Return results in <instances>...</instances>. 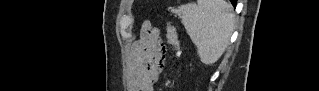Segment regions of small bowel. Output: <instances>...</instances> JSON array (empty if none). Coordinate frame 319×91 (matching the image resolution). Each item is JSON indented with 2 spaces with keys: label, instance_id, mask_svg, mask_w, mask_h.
<instances>
[{
  "label": "small bowel",
  "instance_id": "small-bowel-1",
  "mask_svg": "<svg viewBox=\"0 0 319 91\" xmlns=\"http://www.w3.org/2000/svg\"><path fill=\"white\" fill-rule=\"evenodd\" d=\"M133 74L131 87L135 91L153 90L165 67L166 47L160 36L159 30L145 25L142 38L132 47ZM153 55L150 65L145 63V58Z\"/></svg>",
  "mask_w": 319,
  "mask_h": 91
}]
</instances>
